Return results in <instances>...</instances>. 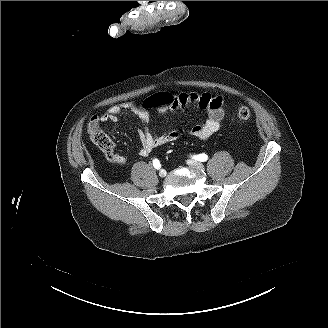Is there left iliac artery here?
Wrapping results in <instances>:
<instances>
[{"mask_svg":"<svg viewBox=\"0 0 328 328\" xmlns=\"http://www.w3.org/2000/svg\"><path fill=\"white\" fill-rule=\"evenodd\" d=\"M193 158H194L195 160H198V161L204 162V161H207L208 156H207L206 154L202 153V154H199V155H195V156H193Z\"/></svg>","mask_w":328,"mask_h":328,"instance_id":"obj_1","label":"left iliac artery"}]
</instances>
